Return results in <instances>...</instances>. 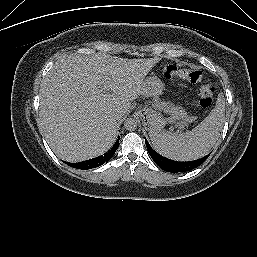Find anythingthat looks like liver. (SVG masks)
Wrapping results in <instances>:
<instances>
[{
	"mask_svg": "<svg viewBox=\"0 0 257 257\" xmlns=\"http://www.w3.org/2000/svg\"><path fill=\"white\" fill-rule=\"evenodd\" d=\"M158 61L107 54H74L57 61L42 83L39 107L43 134L56 156L81 162L107 152L117 138L118 122L130 101L144 93V78ZM115 114L120 121H114Z\"/></svg>",
	"mask_w": 257,
	"mask_h": 257,
	"instance_id": "obj_1",
	"label": "liver"
}]
</instances>
